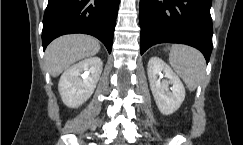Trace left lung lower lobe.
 <instances>
[{
	"mask_svg": "<svg viewBox=\"0 0 243 145\" xmlns=\"http://www.w3.org/2000/svg\"><path fill=\"white\" fill-rule=\"evenodd\" d=\"M211 0H140L141 54L159 43H182L212 52Z\"/></svg>",
	"mask_w": 243,
	"mask_h": 145,
	"instance_id": "obj_1",
	"label": "left lung lower lobe"
}]
</instances>
